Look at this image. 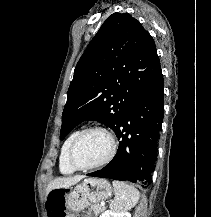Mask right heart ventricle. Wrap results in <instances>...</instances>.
<instances>
[{
  "instance_id": "right-heart-ventricle-1",
  "label": "right heart ventricle",
  "mask_w": 211,
  "mask_h": 217,
  "mask_svg": "<svg viewBox=\"0 0 211 217\" xmlns=\"http://www.w3.org/2000/svg\"><path fill=\"white\" fill-rule=\"evenodd\" d=\"M79 132H80L79 130H75L71 132L62 144L60 150V156H59V170L62 174L69 175L76 171V169H74L69 163L68 151L72 141L74 140V138L77 136Z\"/></svg>"
}]
</instances>
